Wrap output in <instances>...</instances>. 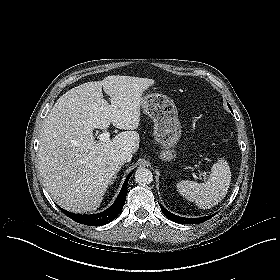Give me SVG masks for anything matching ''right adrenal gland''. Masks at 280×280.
<instances>
[{
	"label": "right adrenal gland",
	"mask_w": 280,
	"mask_h": 280,
	"mask_svg": "<svg viewBox=\"0 0 280 280\" xmlns=\"http://www.w3.org/2000/svg\"><path fill=\"white\" fill-rule=\"evenodd\" d=\"M122 165H123V163H121V164L119 165L118 170H117V172L115 173V175H114L113 179L111 180L110 185H111V184H113V183H114V181L117 179V173H118V172H119V170L121 169Z\"/></svg>",
	"instance_id": "2a0ac1e0"
}]
</instances>
